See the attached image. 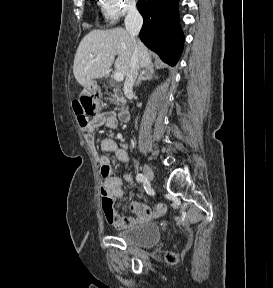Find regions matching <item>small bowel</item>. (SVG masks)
Here are the masks:
<instances>
[{
	"label": "small bowel",
	"instance_id": "1",
	"mask_svg": "<svg viewBox=\"0 0 273 288\" xmlns=\"http://www.w3.org/2000/svg\"><path fill=\"white\" fill-rule=\"evenodd\" d=\"M117 129L118 122L113 112H103L94 117L89 125L84 128V137L89 147L94 149V132L99 128ZM103 152L112 153L122 163L128 162V154L120 148L111 138H105L100 143ZM100 166V174L103 179L101 184V204L107 222L115 228L125 229L138 223L160 217L166 211L164 204H157L153 208L139 203L132 202L130 210L135 216L121 217L114 208V201L123 195L122 179L112 172L109 157L95 153Z\"/></svg>",
	"mask_w": 273,
	"mask_h": 288
}]
</instances>
